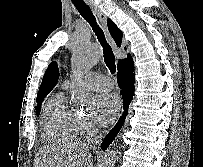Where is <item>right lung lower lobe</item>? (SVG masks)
<instances>
[{
    "label": "right lung lower lobe",
    "instance_id": "right-lung-lower-lobe-1",
    "mask_svg": "<svg viewBox=\"0 0 203 167\" xmlns=\"http://www.w3.org/2000/svg\"><path fill=\"white\" fill-rule=\"evenodd\" d=\"M117 82L118 86L121 89V94L123 98V108L124 113L120 117L119 121L115 125V127L108 133L102 143V150H105L108 145L111 143L112 140L116 137L117 133L119 132L120 128L122 127L125 117L128 112L129 104L132 100L134 94V65L133 60L127 61L123 63L118 68V75H117Z\"/></svg>",
    "mask_w": 203,
    "mask_h": 167
}]
</instances>
